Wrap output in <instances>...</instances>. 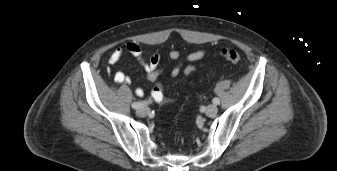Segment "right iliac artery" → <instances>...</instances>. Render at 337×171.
<instances>
[{
  "mask_svg": "<svg viewBox=\"0 0 337 171\" xmlns=\"http://www.w3.org/2000/svg\"><path fill=\"white\" fill-rule=\"evenodd\" d=\"M145 104H147V102H134V103H132V108L133 109H139V108H141L142 106H144Z\"/></svg>",
  "mask_w": 337,
  "mask_h": 171,
  "instance_id": "1",
  "label": "right iliac artery"
}]
</instances>
